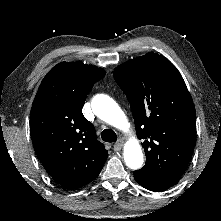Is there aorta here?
I'll list each match as a JSON object with an SVG mask.
<instances>
[{"instance_id":"obj_1","label":"aorta","mask_w":221,"mask_h":221,"mask_svg":"<svg viewBox=\"0 0 221 221\" xmlns=\"http://www.w3.org/2000/svg\"><path fill=\"white\" fill-rule=\"evenodd\" d=\"M92 110L97 117L111 126L126 131L130 124L126 115L119 105L109 96L98 94L94 96L91 102ZM125 164L133 169H139L144 162L141 146L136 139L128 141L124 146Z\"/></svg>"}]
</instances>
